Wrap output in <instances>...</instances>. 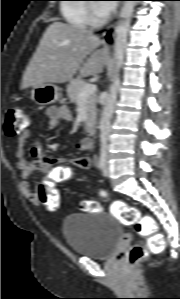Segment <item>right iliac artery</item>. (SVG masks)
Here are the masks:
<instances>
[{
    "mask_svg": "<svg viewBox=\"0 0 180 299\" xmlns=\"http://www.w3.org/2000/svg\"><path fill=\"white\" fill-rule=\"evenodd\" d=\"M107 161V155L105 150H101L100 158H99V168L104 169Z\"/></svg>",
    "mask_w": 180,
    "mask_h": 299,
    "instance_id": "1",
    "label": "right iliac artery"
}]
</instances>
